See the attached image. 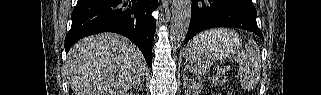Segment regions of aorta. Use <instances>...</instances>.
Wrapping results in <instances>:
<instances>
[{"label":"aorta","instance_id":"762f6f07","mask_svg":"<svg viewBox=\"0 0 321 95\" xmlns=\"http://www.w3.org/2000/svg\"><path fill=\"white\" fill-rule=\"evenodd\" d=\"M191 0H173L170 38L174 45L181 44L188 32L191 19Z\"/></svg>","mask_w":321,"mask_h":95}]
</instances>
